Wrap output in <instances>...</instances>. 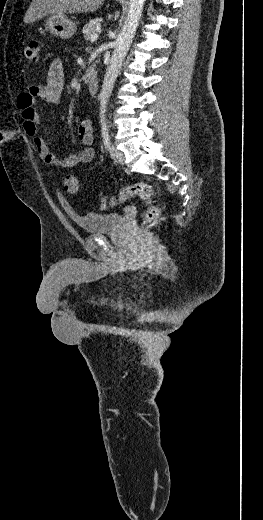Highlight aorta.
Wrapping results in <instances>:
<instances>
[{
	"mask_svg": "<svg viewBox=\"0 0 263 520\" xmlns=\"http://www.w3.org/2000/svg\"><path fill=\"white\" fill-rule=\"evenodd\" d=\"M145 0H130L127 17L122 30L117 38L115 49L112 53L110 64L107 67L103 80L100 99V118L105 119L109 98L112 94L114 83L120 72L122 62L133 41L139 24Z\"/></svg>",
	"mask_w": 263,
	"mask_h": 520,
	"instance_id": "762f6f07",
	"label": "aorta"
}]
</instances>
